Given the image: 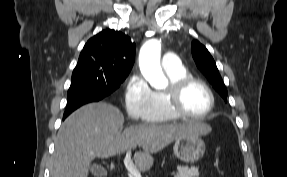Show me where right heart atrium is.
<instances>
[{
    "mask_svg": "<svg viewBox=\"0 0 287 177\" xmlns=\"http://www.w3.org/2000/svg\"><path fill=\"white\" fill-rule=\"evenodd\" d=\"M124 106L134 122L147 121L152 109V90L146 80L133 75L125 85L123 94Z\"/></svg>",
    "mask_w": 287,
    "mask_h": 177,
    "instance_id": "d8ad5b80",
    "label": "right heart atrium"
}]
</instances>
